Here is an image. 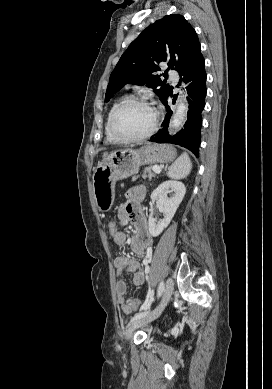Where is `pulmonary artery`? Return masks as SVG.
<instances>
[{"label": "pulmonary artery", "instance_id": "e3ab8cb5", "mask_svg": "<svg viewBox=\"0 0 272 389\" xmlns=\"http://www.w3.org/2000/svg\"><path fill=\"white\" fill-rule=\"evenodd\" d=\"M169 77H170L171 80H173L174 82H177L178 79H179V75H178V73H177L175 70H170V71H169Z\"/></svg>", "mask_w": 272, "mask_h": 389}]
</instances>
